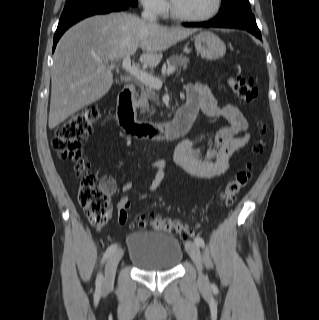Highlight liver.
Returning <instances> with one entry per match:
<instances>
[{"mask_svg":"<svg viewBox=\"0 0 319 320\" xmlns=\"http://www.w3.org/2000/svg\"><path fill=\"white\" fill-rule=\"evenodd\" d=\"M195 29L164 27L129 13L96 15L71 27L59 40L51 77L50 129L103 97L113 84L109 62L134 55L150 67L162 51L185 39Z\"/></svg>","mask_w":319,"mask_h":320,"instance_id":"obj_1","label":"liver"}]
</instances>
